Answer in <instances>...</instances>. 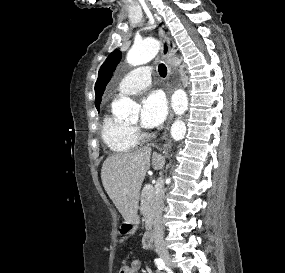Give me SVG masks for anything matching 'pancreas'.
<instances>
[{"instance_id": "1", "label": "pancreas", "mask_w": 285, "mask_h": 273, "mask_svg": "<svg viewBox=\"0 0 285 273\" xmlns=\"http://www.w3.org/2000/svg\"><path fill=\"white\" fill-rule=\"evenodd\" d=\"M154 201V188L143 189L141 192V207L140 211L144 217L146 227H150L152 219V208Z\"/></svg>"}]
</instances>
